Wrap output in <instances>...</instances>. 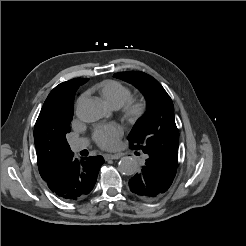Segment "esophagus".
Segmentation results:
<instances>
[{"instance_id": "1", "label": "esophagus", "mask_w": 246, "mask_h": 246, "mask_svg": "<svg viewBox=\"0 0 246 246\" xmlns=\"http://www.w3.org/2000/svg\"><path fill=\"white\" fill-rule=\"evenodd\" d=\"M122 155L121 154H105L104 155V159L107 161V160H110V159H119Z\"/></svg>"}]
</instances>
